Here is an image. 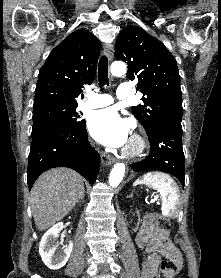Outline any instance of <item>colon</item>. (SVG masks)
I'll list each match as a JSON object with an SVG mask.
<instances>
[{"instance_id": "colon-1", "label": "colon", "mask_w": 221, "mask_h": 278, "mask_svg": "<svg viewBox=\"0 0 221 278\" xmlns=\"http://www.w3.org/2000/svg\"><path fill=\"white\" fill-rule=\"evenodd\" d=\"M154 224L162 231H168L170 229V223L167 218L160 214L154 215ZM178 269L177 264L171 259H164L160 263V270L165 277H172Z\"/></svg>"}]
</instances>
